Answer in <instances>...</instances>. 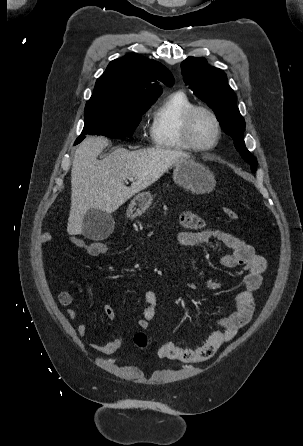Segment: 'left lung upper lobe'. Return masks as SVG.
<instances>
[{
    "label": "left lung upper lobe",
    "instance_id": "obj_1",
    "mask_svg": "<svg viewBox=\"0 0 303 446\" xmlns=\"http://www.w3.org/2000/svg\"><path fill=\"white\" fill-rule=\"evenodd\" d=\"M181 68L184 82L212 108L222 129L233 138L237 151L256 172L257 160L245 146V121L236 105V95L227 83L226 74L209 66L203 57H188L181 63Z\"/></svg>",
    "mask_w": 303,
    "mask_h": 446
}]
</instances>
